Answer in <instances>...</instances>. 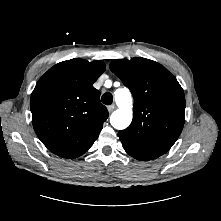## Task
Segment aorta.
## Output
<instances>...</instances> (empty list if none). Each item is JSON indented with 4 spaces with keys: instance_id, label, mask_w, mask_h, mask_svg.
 <instances>
[{
    "instance_id": "762f6f07",
    "label": "aorta",
    "mask_w": 221,
    "mask_h": 221,
    "mask_svg": "<svg viewBox=\"0 0 221 221\" xmlns=\"http://www.w3.org/2000/svg\"><path fill=\"white\" fill-rule=\"evenodd\" d=\"M114 95L118 109L111 114L110 123L115 129L123 130L131 124L133 118L131 93L127 88H121Z\"/></svg>"
}]
</instances>
